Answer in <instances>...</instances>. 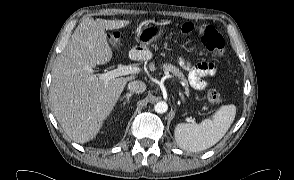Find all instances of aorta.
Listing matches in <instances>:
<instances>
[{
	"label": "aorta",
	"mask_w": 294,
	"mask_h": 180,
	"mask_svg": "<svg viewBox=\"0 0 294 180\" xmlns=\"http://www.w3.org/2000/svg\"><path fill=\"white\" fill-rule=\"evenodd\" d=\"M154 109L157 113H165L167 110H168V105L166 102L164 101H161V102H158L155 106H154Z\"/></svg>",
	"instance_id": "aorta-1"
}]
</instances>
